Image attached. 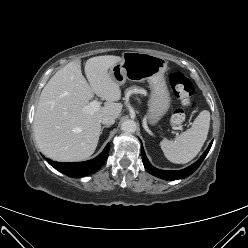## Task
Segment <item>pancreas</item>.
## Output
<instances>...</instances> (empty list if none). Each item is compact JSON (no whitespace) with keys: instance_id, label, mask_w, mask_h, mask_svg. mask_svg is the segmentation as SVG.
Segmentation results:
<instances>
[{"instance_id":"cf45deb5","label":"pancreas","mask_w":248,"mask_h":248,"mask_svg":"<svg viewBox=\"0 0 248 248\" xmlns=\"http://www.w3.org/2000/svg\"><path fill=\"white\" fill-rule=\"evenodd\" d=\"M125 94H126V96L131 95V94L144 95V94H146V90H144L143 88H140L138 86H132V87H129L128 89H126Z\"/></svg>"}]
</instances>
